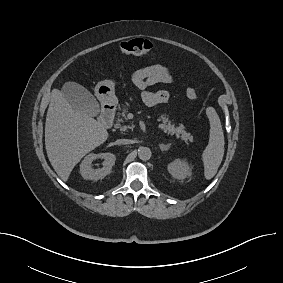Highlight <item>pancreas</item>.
<instances>
[{
	"instance_id": "cf45deb5",
	"label": "pancreas",
	"mask_w": 283,
	"mask_h": 283,
	"mask_svg": "<svg viewBox=\"0 0 283 283\" xmlns=\"http://www.w3.org/2000/svg\"><path fill=\"white\" fill-rule=\"evenodd\" d=\"M128 112L126 107H123L122 109H120V112L117 113V120H116V124L115 127L116 128H120V130L122 131H126L128 128H130L129 126L123 125V123L127 120L126 118V113ZM158 121L161 122V124H159V128L173 136L175 135L177 138H180L181 140H184L185 142L193 141V136L185 131V127L183 124H179L178 126L173 124L172 121L169 119L167 114H162L159 116Z\"/></svg>"
}]
</instances>
